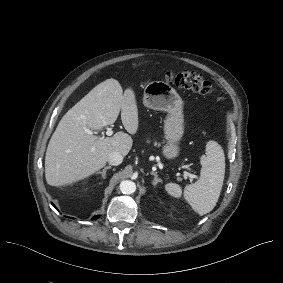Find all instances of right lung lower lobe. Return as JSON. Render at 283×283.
Segmentation results:
<instances>
[{
    "instance_id": "1",
    "label": "right lung lower lobe",
    "mask_w": 283,
    "mask_h": 283,
    "mask_svg": "<svg viewBox=\"0 0 283 283\" xmlns=\"http://www.w3.org/2000/svg\"><path fill=\"white\" fill-rule=\"evenodd\" d=\"M99 216H94L93 219H97Z\"/></svg>"
}]
</instances>
